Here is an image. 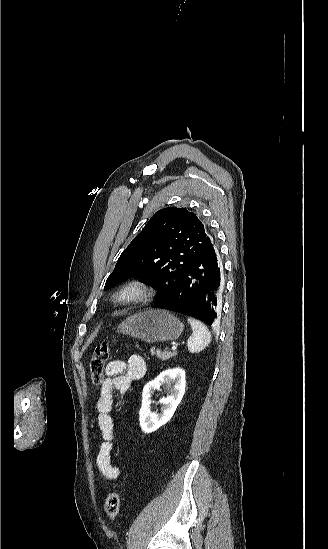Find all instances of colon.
Here are the masks:
<instances>
[{"label":"colon","instance_id":"5ec220e1","mask_svg":"<svg viewBox=\"0 0 328 549\" xmlns=\"http://www.w3.org/2000/svg\"><path fill=\"white\" fill-rule=\"evenodd\" d=\"M110 355V343L105 341L97 345L90 361V375L95 385H100L104 378V368ZM104 510L110 520H115L120 510V496L117 491H111L104 503Z\"/></svg>","mask_w":328,"mask_h":549}]
</instances>
